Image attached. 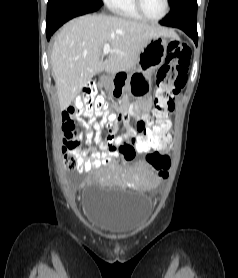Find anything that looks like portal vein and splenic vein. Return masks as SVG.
Returning a JSON list of instances; mask_svg holds the SVG:
<instances>
[{"mask_svg": "<svg viewBox=\"0 0 238 278\" xmlns=\"http://www.w3.org/2000/svg\"><path fill=\"white\" fill-rule=\"evenodd\" d=\"M109 52H110V45L108 43H105L103 47V54L107 55L109 54Z\"/></svg>", "mask_w": 238, "mask_h": 278, "instance_id": "portal-vein-and-splenic-vein-1", "label": "portal vein and splenic vein"}]
</instances>
